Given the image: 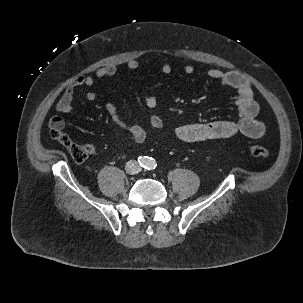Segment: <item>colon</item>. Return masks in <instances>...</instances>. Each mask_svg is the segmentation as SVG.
I'll return each instance as SVG.
<instances>
[{
	"mask_svg": "<svg viewBox=\"0 0 303 303\" xmlns=\"http://www.w3.org/2000/svg\"><path fill=\"white\" fill-rule=\"evenodd\" d=\"M50 135L52 139L60 143L63 147L67 149L71 158L76 163L83 162L87 157V152L84 148L74 143L61 128L56 126H51ZM250 154L256 158H266L269 156V151L267 148L261 145H251L248 148Z\"/></svg>",
	"mask_w": 303,
	"mask_h": 303,
	"instance_id": "obj_1",
	"label": "colon"
}]
</instances>
